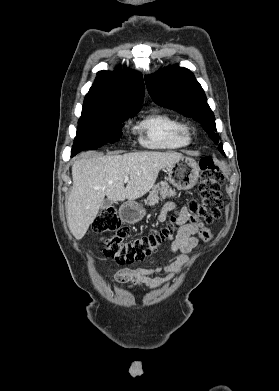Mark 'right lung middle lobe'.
Listing matches in <instances>:
<instances>
[{
    "instance_id": "right-lung-middle-lobe-1",
    "label": "right lung middle lobe",
    "mask_w": 279,
    "mask_h": 391,
    "mask_svg": "<svg viewBox=\"0 0 279 391\" xmlns=\"http://www.w3.org/2000/svg\"><path fill=\"white\" fill-rule=\"evenodd\" d=\"M138 111L139 109L82 113L71 150L72 156L82 150L99 148L107 142H117L122 134V122L133 117Z\"/></svg>"
}]
</instances>
